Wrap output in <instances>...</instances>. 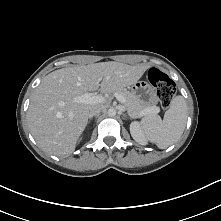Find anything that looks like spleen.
<instances>
[{"instance_id":"1","label":"spleen","mask_w":221,"mask_h":221,"mask_svg":"<svg viewBox=\"0 0 221 221\" xmlns=\"http://www.w3.org/2000/svg\"><path fill=\"white\" fill-rule=\"evenodd\" d=\"M187 121V104L182 96H176L165 112L162 120L159 115H148L141 121L145 137L158 148L165 149L182 136Z\"/></svg>"}]
</instances>
